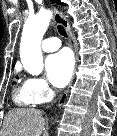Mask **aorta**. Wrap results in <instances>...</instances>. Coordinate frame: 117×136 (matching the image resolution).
Returning <instances> with one entry per match:
<instances>
[{
  "instance_id": "obj_1",
  "label": "aorta",
  "mask_w": 117,
  "mask_h": 136,
  "mask_svg": "<svg viewBox=\"0 0 117 136\" xmlns=\"http://www.w3.org/2000/svg\"><path fill=\"white\" fill-rule=\"evenodd\" d=\"M51 17L52 13L49 10H42L29 17L24 24L20 43V58L23 67L30 74L38 75L43 70L41 41Z\"/></svg>"
}]
</instances>
